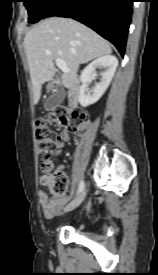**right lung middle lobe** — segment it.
<instances>
[{"label":"right lung middle lobe","instance_id":"obj_1","mask_svg":"<svg viewBox=\"0 0 158 275\" xmlns=\"http://www.w3.org/2000/svg\"><path fill=\"white\" fill-rule=\"evenodd\" d=\"M58 0H24V5L28 10L29 22L35 23L43 19L45 13L57 2Z\"/></svg>","mask_w":158,"mask_h":275}]
</instances>
